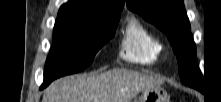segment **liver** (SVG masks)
Returning a JSON list of instances; mask_svg holds the SVG:
<instances>
[{"instance_id": "1", "label": "liver", "mask_w": 221, "mask_h": 102, "mask_svg": "<svg viewBox=\"0 0 221 102\" xmlns=\"http://www.w3.org/2000/svg\"><path fill=\"white\" fill-rule=\"evenodd\" d=\"M160 83L156 78L126 69L70 76L52 83L42 102H130L139 92Z\"/></svg>"}]
</instances>
